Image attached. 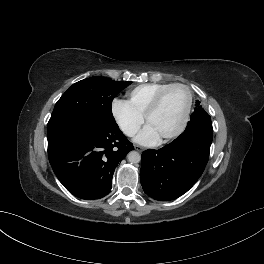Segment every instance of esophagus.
Returning a JSON list of instances; mask_svg holds the SVG:
<instances>
[{
  "label": "esophagus",
  "mask_w": 264,
  "mask_h": 264,
  "mask_svg": "<svg viewBox=\"0 0 264 264\" xmlns=\"http://www.w3.org/2000/svg\"><path fill=\"white\" fill-rule=\"evenodd\" d=\"M134 149L137 150V151H139V152H142L144 150V148H142V147H140L138 145H135L134 146Z\"/></svg>",
  "instance_id": "esophagus-1"
}]
</instances>
